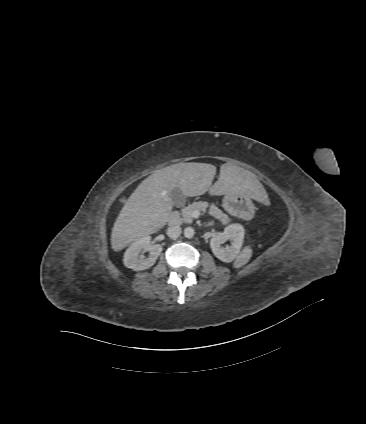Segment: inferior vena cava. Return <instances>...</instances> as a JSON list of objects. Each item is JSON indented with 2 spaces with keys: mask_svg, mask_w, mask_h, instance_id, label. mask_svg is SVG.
<instances>
[{
  "mask_svg": "<svg viewBox=\"0 0 366 424\" xmlns=\"http://www.w3.org/2000/svg\"><path fill=\"white\" fill-rule=\"evenodd\" d=\"M181 228L179 227V226H172V227H169L168 229H167V235H168V237H170L171 239H176V238H178L179 236H180V234H181Z\"/></svg>",
  "mask_w": 366,
  "mask_h": 424,
  "instance_id": "obj_1",
  "label": "inferior vena cava"
}]
</instances>
